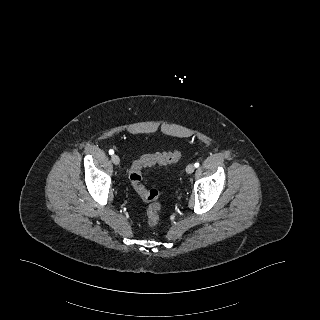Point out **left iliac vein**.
<instances>
[{
    "label": "left iliac vein",
    "mask_w": 320,
    "mask_h": 320,
    "mask_svg": "<svg viewBox=\"0 0 320 320\" xmlns=\"http://www.w3.org/2000/svg\"><path fill=\"white\" fill-rule=\"evenodd\" d=\"M195 170V166L193 164H189L187 167H186V172L188 174H192Z\"/></svg>",
    "instance_id": "1"
}]
</instances>
